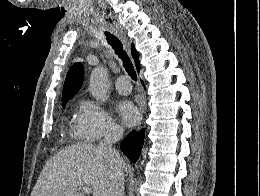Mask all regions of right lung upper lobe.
I'll return each instance as SVG.
<instances>
[{
	"mask_svg": "<svg viewBox=\"0 0 260 196\" xmlns=\"http://www.w3.org/2000/svg\"><path fill=\"white\" fill-rule=\"evenodd\" d=\"M131 52L133 59L135 61V65L137 70L140 69L139 64V53L135 50L134 46L131 47ZM84 79V68L81 63H75L67 73L63 94H62V104L63 106L67 103L69 99H71L80 89L82 82Z\"/></svg>",
	"mask_w": 260,
	"mask_h": 196,
	"instance_id": "1",
	"label": "right lung upper lobe"
}]
</instances>
